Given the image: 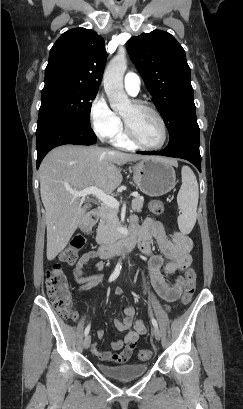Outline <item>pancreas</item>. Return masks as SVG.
I'll return each mask as SVG.
<instances>
[{
    "instance_id": "pancreas-1",
    "label": "pancreas",
    "mask_w": 243,
    "mask_h": 409,
    "mask_svg": "<svg viewBox=\"0 0 243 409\" xmlns=\"http://www.w3.org/2000/svg\"><path fill=\"white\" fill-rule=\"evenodd\" d=\"M144 198L136 196L132 200V209L136 212H141L143 208ZM99 225L96 230V241L99 244H107L115 239L116 228L120 225L118 218V209L109 207L103 204L99 210Z\"/></svg>"
}]
</instances>
